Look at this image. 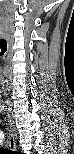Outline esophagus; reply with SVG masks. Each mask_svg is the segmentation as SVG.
<instances>
[{"instance_id": "1", "label": "esophagus", "mask_w": 74, "mask_h": 154, "mask_svg": "<svg viewBox=\"0 0 74 154\" xmlns=\"http://www.w3.org/2000/svg\"><path fill=\"white\" fill-rule=\"evenodd\" d=\"M15 137H16V133L14 129H11V133L10 136L8 138V143L10 146H14L15 145Z\"/></svg>"}]
</instances>
